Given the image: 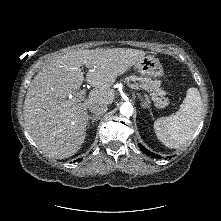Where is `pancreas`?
I'll return each mask as SVG.
<instances>
[{
  "label": "pancreas",
  "mask_w": 221,
  "mask_h": 221,
  "mask_svg": "<svg viewBox=\"0 0 221 221\" xmlns=\"http://www.w3.org/2000/svg\"><path fill=\"white\" fill-rule=\"evenodd\" d=\"M123 82H134L135 86L148 91L152 100L156 103V107L164 108L168 104V99L164 97L165 92L159 88L157 81L131 75L125 77Z\"/></svg>",
  "instance_id": "cf45deb5"
}]
</instances>
